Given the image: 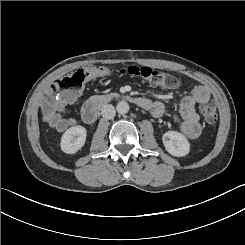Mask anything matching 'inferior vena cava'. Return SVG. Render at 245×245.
<instances>
[{
	"mask_svg": "<svg viewBox=\"0 0 245 245\" xmlns=\"http://www.w3.org/2000/svg\"><path fill=\"white\" fill-rule=\"evenodd\" d=\"M101 114L105 119H112L114 118L116 111L113 105L107 104L102 107Z\"/></svg>",
	"mask_w": 245,
	"mask_h": 245,
	"instance_id": "obj_1",
	"label": "inferior vena cava"
}]
</instances>
